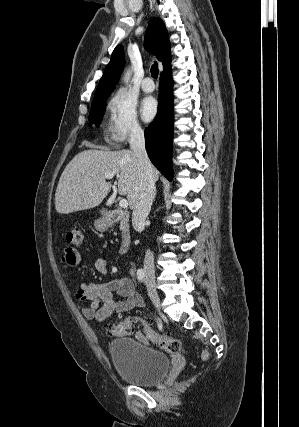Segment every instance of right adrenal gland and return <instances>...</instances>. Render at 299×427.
Wrapping results in <instances>:
<instances>
[{
	"instance_id": "obj_1",
	"label": "right adrenal gland",
	"mask_w": 299,
	"mask_h": 427,
	"mask_svg": "<svg viewBox=\"0 0 299 427\" xmlns=\"http://www.w3.org/2000/svg\"><path fill=\"white\" fill-rule=\"evenodd\" d=\"M155 196H156V192H155V195H154V199H155Z\"/></svg>"
}]
</instances>
